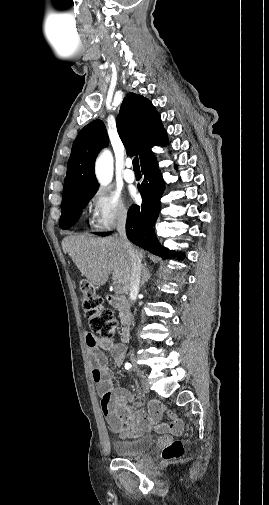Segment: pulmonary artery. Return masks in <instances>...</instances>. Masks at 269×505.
<instances>
[{"label": "pulmonary artery", "mask_w": 269, "mask_h": 505, "mask_svg": "<svg viewBox=\"0 0 269 505\" xmlns=\"http://www.w3.org/2000/svg\"><path fill=\"white\" fill-rule=\"evenodd\" d=\"M125 165H126V169L124 170V179L129 182V183H132L135 181V173L133 172V170L131 169L132 167V161L130 159H128L126 162H125Z\"/></svg>", "instance_id": "1"}]
</instances>
